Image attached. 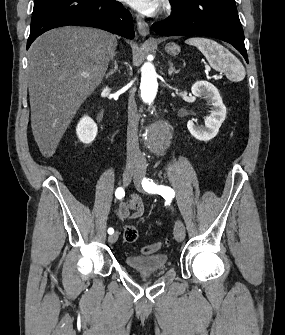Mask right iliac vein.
<instances>
[{
    "instance_id": "63e3f726",
    "label": "right iliac vein",
    "mask_w": 285,
    "mask_h": 335,
    "mask_svg": "<svg viewBox=\"0 0 285 335\" xmlns=\"http://www.w3.org/2000/svg\"><path fill=\"white\" fill-rule=\"evenodd\" d=\"M137 176V173L132 168H126L123 172V183L125 186H128L131 180ZM118 239V232H115L113 235H110L108 238L109 243L113 244Z\"/></svg>"
}]
</instances>
